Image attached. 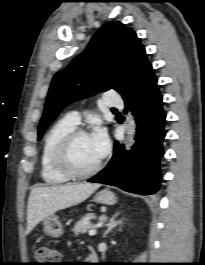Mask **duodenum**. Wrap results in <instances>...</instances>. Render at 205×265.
Returning <instances> with one entry per match:
<instances>
[{"label": "duodenum", "instance_id": "duodenum-1", "mask_svg": "<svg viewBox=\"0 0 205 265\" xmlns=\"http://www.w3.org/2000/svg\"><path fill=\"white\" fill-rule=\"evenodd\" d=\"M88 260H89L90 262H93V261L95 260L94 255H92V254L89 255Z\"/></svg>", "mask_w": 205, "mask_h": 265}]
</instances>
